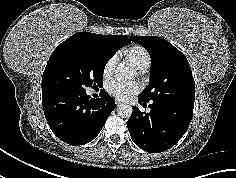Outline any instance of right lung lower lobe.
Wrapping results in <instances>:
<instances>
[{"mask_svg": "<svg viewBox=\"0 0 236 178\" xmlns=\"http://www.w3.org/2000/svg\"><path fill=\"white\" fill-rule=\"evenodd\" d=\"M43 110L52 132L70 145L92 141L115 109L114 99L105 91L93 99L85 92L42 93Z\"/></svg>", "mask_w": 236, "mask_h": 178, "instance_id": "98d812e1", "label": "right lung lower lobe"}]
</instances>
